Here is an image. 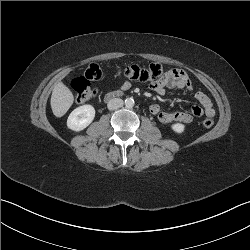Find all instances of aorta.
Masks as SVG:
<instances>
[{
    "label": "aorta",
    "mask_w": 250,
    "mask_h": 250,
    "mask_svg": "<svg viewBox=\"0 0 250 250\" xmlns=\"http://www.w3.org/2000/svg\"><path fill=\"white\" fill-rule=\"evenodd\" d=\"M135 102H134V99L133 98H126L125 99V106L127 108H132L134 106Z\"/></svg>",
    "instance_id": "obj_1"
}]
</instances>
